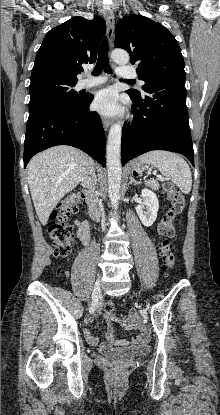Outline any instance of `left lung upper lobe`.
<instances>
[{"mask_svg": "<svg viewBox=\"0 0 220 415\" xmlns=\"http://www.w3.org/2000/svg\"><path fill=\"white\" fill-rule=\"evenodd\" d=\"M116 47L127 50L130 62L138 63L143 90L157 81H185L184 59L174 36L161 24L141 15L128 16L117 24ZM141 96L137 90H129Z\"/></svg>", "mask_w": 220, "mask_h": 415, "instance_id": "left-lung-upper-lobe-1", "label": "left lung upper lobe"}]
</instances>
